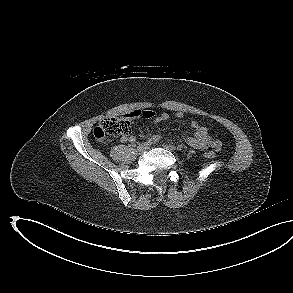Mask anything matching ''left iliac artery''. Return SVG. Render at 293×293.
I'll return each mask as SVG.
<instances>
[{"instance_id": "obj_1", "label": "left iliac artery", "mask_w": 293, "mask_h": 293, "mask_svg": "<svg viewBox=\"0 0 293 293\" xmlns=\"http://www.w3.org/2000/svg\"><path fill=\"white\" fill-rule=\"evenodd\" d=\"M177 149H178L179 151L183 150V145H182V144L178 145V146H177Z\"/></svg>"}]
</instances>
